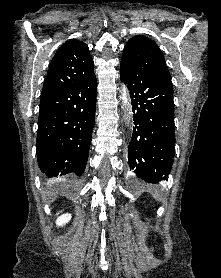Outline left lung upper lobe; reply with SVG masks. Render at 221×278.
<instances>
[{
  "label": "left lung upper lobe",
  "mask_w": 221,
  "mask_h": 278,
  "mask_svg": "<svg viewBox=\"0 0 221 278\" xmlns=\"http://www.w3.org/2000/svg\"><path fill=\"white\" fill-rule=\"evenodd\" d=\"M121 68L143 75H160L171 80L161 50L154 41L143 35L128 41L123 50Z\"/></svg>",
  "instance_id": "5c2ea615"
}]
</instances>
